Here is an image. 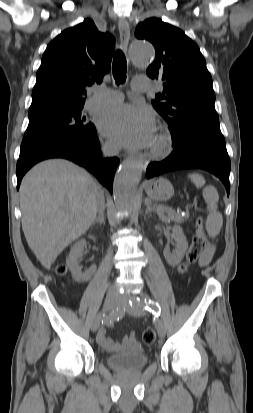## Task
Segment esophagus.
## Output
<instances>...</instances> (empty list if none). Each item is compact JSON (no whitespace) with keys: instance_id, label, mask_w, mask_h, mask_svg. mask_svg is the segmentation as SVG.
<instances>
[{"instance_id":"obj_1","label":"esophagus","mask_w":253,"mask_h":413,"mask_svg":"<svg viewBox=\"0 0 253 413\" xmlns=\"http://www.w3.org/2000/svg\"><path fill=\"white\" fill-rule=\"evenodd\" d=\"M118 29L120 33L121 48L123 52L127 53L128 42L130 39V30L127 21L124 18H120L118 21ZM129 60V59H128ZM139 161L142 164V168L146 169L149 164L148 160L140 158Z\"/></svg>"}]
</instances>
